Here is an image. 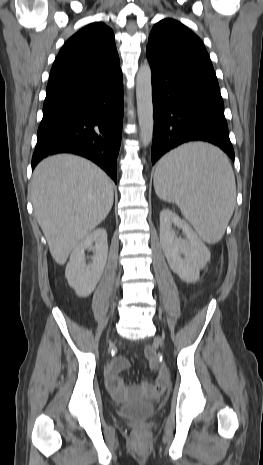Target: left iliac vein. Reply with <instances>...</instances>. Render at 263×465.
<instances>
[{"label": "left iliac vein", "instance_id": "left-iliac-vein-1", "mask_svg": "<svg viewBox=\"0 0 263 465\" xmlns=\"http://www.w3.org/2000/svg\"><path fill=\"white\" fill-rule=\"evenodd\" d=\"M154 341H155L158 345L163 346V338L157 336V337L154 338Z\"/></svg>", "mask_w": 263, "mask_h": 465}]
</instances>
